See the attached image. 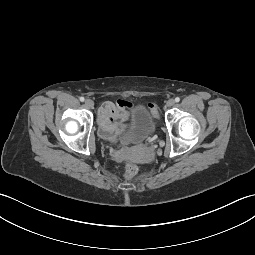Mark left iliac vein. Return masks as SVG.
Instances as JSON below:
<instances>
[{
	"label": "left iliac vein",
	"mask_w": 255,
	"mask_h": 255,
	"mask_svg": "<svg viewBox=\"0 0 255 255\" xmlns=\"http://www.w3.org/2000/svg\"><path fill=\"white\" fill-rule=\"evenodd\" d=\"M174 104H175V100H174V99H169V100L167 101V106H168V107H172V106H174Z\"/></svg>",
	"instance_id": "4c4485c4"
}]
</instances>
